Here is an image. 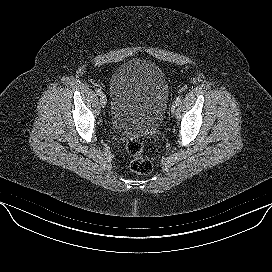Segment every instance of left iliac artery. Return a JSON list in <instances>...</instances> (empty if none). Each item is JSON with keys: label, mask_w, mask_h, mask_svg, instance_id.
Masks as SVG:
<instances>
[{"label": "left iliac artery", "mask_w": 272, "mask_h": 272, "mask_svg": "<svg viewBox=\"0 0 272 272\" xmlns=\"http://www.w3.org/2000/svg\"><path fill=\"white\" fill-rule=\"evenodd\" d=\"M181 96L177 97L176 100L174 101L175 105L178 106L181 103Z\"/></svg>", "instance_id": "1"}]
</instances>
